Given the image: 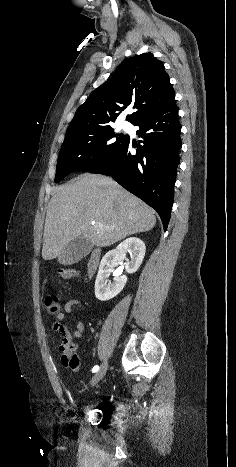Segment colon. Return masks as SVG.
I'll use <instances>...</instances> for the list:
<instances>
[{"label":"colon","mask_w":236,"mask_h":467,"mask_svg":"<svg viewBox=\"0 0 236 467\" xmlns=\"http://www.w3.org/2000/svg\"><path fill=\"white\" fill-rule=\"evenodd\" d=\"M57 274L62 278H73L78 276L79 272L73 268H59ZM47 311L50 315H55L61 312L62 303L59 297L55 294H48L44 299ZM72 363H76L77 356L73 354L71 356Z\"/></svg>","instance_id":"obj_1"}]
</instances>
